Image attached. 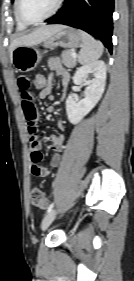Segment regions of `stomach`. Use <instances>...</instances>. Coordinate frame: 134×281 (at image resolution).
<instances>
[{
	"instance_id": "obj_1",
	"label": "stomach",
	"mask_w": 134,
	"mask_h": 281,
	"mask_svg": "<svg viewBox=\"0 0 134 281\" xmlns=\"http://www.w3.org/2000/svg\"><path fill=\"white\" fill-rule=\"evenodd\" d=\"M81 43V31L63 26L58 32L44 40L42 46L47 49H54L58 46L76 48ZM41 58L42 54L36 44L16 47L11 53V63L20 72L32 71L37 67Z\"/></svg>"
}]
</instances>
